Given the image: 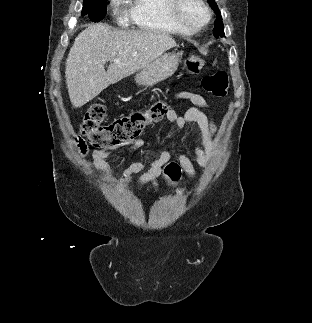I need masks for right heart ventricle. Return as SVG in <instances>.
<instances>
[{
    "label": "right heart ventricle",
    "mask_w": 312,
    "mask_h": 323,
    "mask_svg": "<svg viewBox=\"0 0 312 323\" xmlns=\"http://www.w3.org/2000/svg\"><path fill=\"white\" fill-rule=\"evenodd\" d=\"M132 13L129 20H133L135 29H156L161 33H180L181 29H188V22H181L177 18L173 1L167 0H133Z\"/></svg>",
    "instance_id": "obj_1"
}]
</instances>
